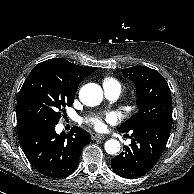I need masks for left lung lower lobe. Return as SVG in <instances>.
<instances>
[{
    "label": "left lung lower lobe",
    "mask_w": 194,
    "mask_h": 194,
    "mask_svg": "<svg viewBox=\"0 0 194 194\" xmlns=\"http://www.w3.org/2000/svg\"><path fill=\"white\" fill-rule=\"evenodd\" d=\"M172 119L144 121L132 129V142L111 159L112 169L121 177L134 179L149 172L161 157L172 128Z\"/></svg>",
    "instance_id": "obj_1"
}]
</instances>
